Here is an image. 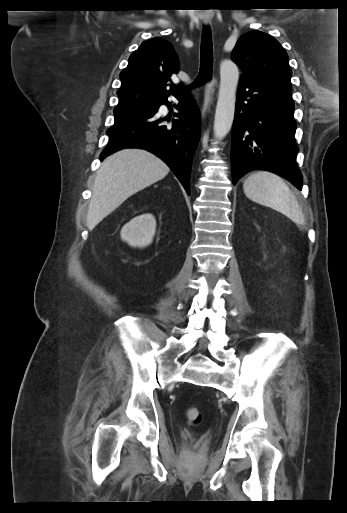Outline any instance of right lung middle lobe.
<instances>
[{
    "label": "right lung middle lobe",
    "mask_w": 347,
    "mask_h": 513,
    "mask_svg": "<svg viewBox=\"0 0 347 513\" xmlns=\"http://www.w3.org/2000/svg\"><path fill=\"white\" fill-rule=\"evenodd\" d=\"M155 102H146V103H142V104H139L137 106H117L115 109H114V114H120V113H125V112H128V111H134V110H139V109H144V108H147V107H151L152 105H154Z\"/></svg>",
    "instance_id": "right-lung-middle-lobe-1"
}]
</instances>
